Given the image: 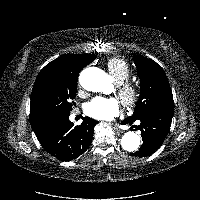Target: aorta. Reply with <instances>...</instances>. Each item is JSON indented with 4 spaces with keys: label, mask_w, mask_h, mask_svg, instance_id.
Listing matches in <instances>:
<instances>
[{
    "label": "aorta",
    "mask_w": 200,
    "mask_h": 200,
    "mask_svg": "<svg viewBox=\"0 0 200 200\" xmlns=\"http://www.w3.org/2000/svg\"><path fill=\"white\" fill-rule=\"evenodd\" d=\"M80 84L88 91H105L109 86L108 75L99 68H87L80 74ZM121 146L125 151L135 152L140 146V137L132 131L125 133L121 139Z\"/></svg>",
    "instance_id": "1"
}]
</instances>
